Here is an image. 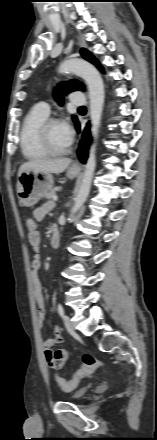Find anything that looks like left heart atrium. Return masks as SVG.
I'll use <instances>...</instances> for the list:
<instances>
[{"mask_svg":"<svg viewBox=\"0 0 157 440\" xmlns=\"http://www.w3.org/2000/svg\"><path fill=\"white\" fill-rule=\"evenodd\" d=\"M60 124L61 131L66 138V140L69 142V144L73 141L74 138V130L70 123L68 121H63Z\"/></svg>","mask_w":157,"mask_h":440,"instance_id":"obj_1","label":"left heart atrium"}]
</instances>
